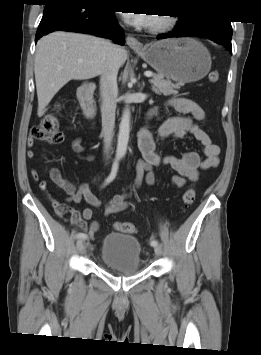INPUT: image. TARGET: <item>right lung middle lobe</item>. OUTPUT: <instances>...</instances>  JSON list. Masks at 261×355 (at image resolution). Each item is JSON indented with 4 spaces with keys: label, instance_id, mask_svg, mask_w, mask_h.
Masks as SVG:
<instances>
[{
    "label": "right lung middle lobe",
    "instance_id": "right-lung-middle-lobe-1",
    "mask_svg": "<svg viewBox=\"0 0 261 355\" xmlns=\"http://www.w3.org/2000/svg\"><path fill=\"white\" fill-rule=\"evenodd\" d=\"M86 2L93 3V4H98L99 1L101 0H85Z\"/></svg>",
    "mask_w": 261,
    "mask_h": 355
}]
</instances>
